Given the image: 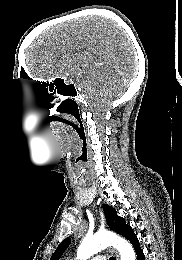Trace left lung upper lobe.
<instances>
[{
  "mask_svg": "<svg viewBox=\"0 0 182 260\" xmlns=\"http://www.w3.org/2000/svg\"><path fill=\"white\" fill-rule=\"evenodd\" d=\"M103 210L105 212V216L109 227L113 231L125 237L126 234L132 228L128 224H126L125 220L122 217H119L115 209L109 206L108 204L103 205ZM70 243H71V238H66L65 240H63L57 247L56 251L51 256L50 260H59L62 254L64 253V251L70 245Z\"/></svg>",
  "mask_w": 182,
  "mask_h": 260,
  "instance_id": "left-lung-upper-lobe-1",
  "label": "left lung upper lobe"
}]
</instances>
